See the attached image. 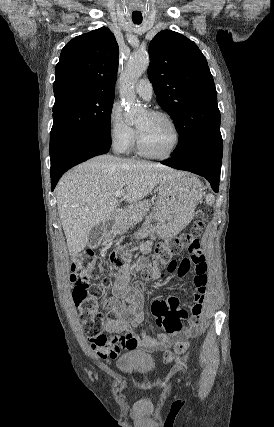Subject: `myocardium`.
<instances>
[{
    "mask_svg": "<svg viewBox=\"0 0 274 427\" xmlns=\"http://www.w3.org/2000/svg\"><path fill=\"white\" fill-rule=\"evenodd\" d=\"M148 114L152 117H157V118H162L165 119L171 126L173 133H174V142L172 147L170 148V150L163 155H153L150 153H147L143 147H142V143H141V139L140 136L137 132V130L135 131L136 134V151L137 153L144 158L147 159H151V160H166L168 158H170L171 156H173V154L176 152L179 144H180V139H181V135H180V131L179 128L177 126V123L175 122V120L173 119V117L171 115H169L166 112H162V111H150L148 112Z\"/></svg>",
    "mask_w": 274,
    "mask_h": 427,
    "instance_id": "f54148a6",
    "label": "myocardium"
}]
</instances>
